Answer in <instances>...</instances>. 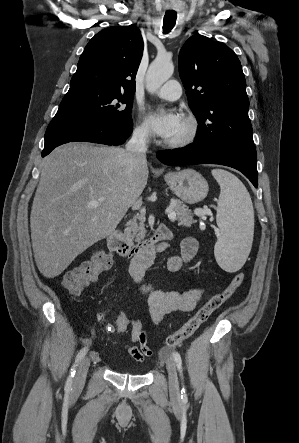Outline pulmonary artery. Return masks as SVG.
Masks as SVG:
<instances>
[{
    "label": "pulmonary artery",
    "mask_w": 299,
    "mask_h": 443,
    "mask_svg": "<svg viewBox=\"0 0 299 443\" xmlns=\"http://www.w3.org/2000/svg\"><path fill=\"white\" fill-rule=\"evenodd\" d=\"M182 94V88L178 81L169 80L156 91V95L162 99L174 101Z\"/></svg>",
    "instance_id": "pulmonary-artery-1"
}]
</instances>
